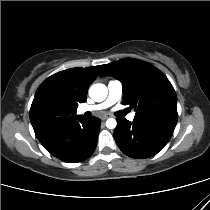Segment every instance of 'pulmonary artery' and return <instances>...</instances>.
I'll use <instances>...</instances> for the list:
<instances>
[{"label":"pulmonary artery","mask_w":210,"mask_h":210,"mask_svg":"<svg viewBox=\"0 0 210 210\" xmlns=\"http://www.w3.org/2000/svg\"><path fill=\"white\" fill-rule=\"evenodd\" d=\"M107 88H108V95L107 98L102 103L97 105L82 106L78 109V112L80 114H84L86 112H97L106 109L107 107L116 103L121 98L123 93L122 83L119 80H111L109 81ZM134 117H135L134 113H130L128 115V119L130 121H132Z\"/></svg>","instance_id":"obj_1"}]
</instances>
